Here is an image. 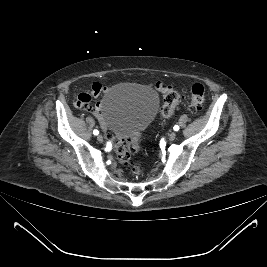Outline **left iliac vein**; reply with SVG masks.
<instances>
[{"instance_id": "4c4485c4", "label": "left iliac vein", "mask_w": 267, "mask_h": 267, "mask_svg": "<svg viewBox=\"0 0 267 267\" xmlns=\"http://www.w3.org/2000/svg\"><path fill=\"white\" fill-rule=\"evenodd\" d=\"M176 133L175 132H172V133H170V135H169V140L170 141H173V140H175L176 139Z\"/></svg>"}]
</instances>
